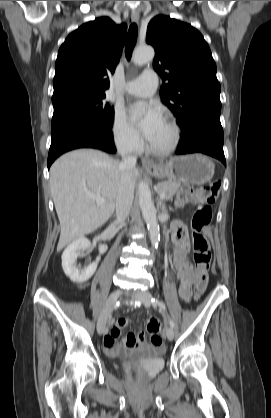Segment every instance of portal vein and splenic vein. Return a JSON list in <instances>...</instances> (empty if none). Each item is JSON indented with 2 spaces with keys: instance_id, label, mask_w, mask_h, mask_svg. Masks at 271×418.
Instances as JSON below:
<instances>
[{
  "instance_id": "obj_1",
  "label": "portal vein and splenic vein",
  "mask_w": 271,
  "mask_h": 418,
  "mask_svg": "<svg viewBox=\"0 0 271 418\" xmlns=\"http://www.w3.org/2000/svg\"><path fill=\"white\" fill-rule=\"evenodd\" d=\"M165 193L160 194V199L163 200L165 198ZM89 197L96 201L97 205H103L106 200L98 195L89 194Z\"/></svg>"
}]
</instances>
